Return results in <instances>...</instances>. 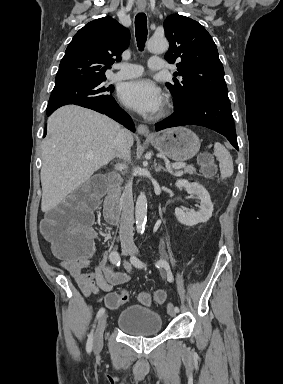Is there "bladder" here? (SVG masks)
<instances>
[{
  "label": "bladder",
  "instance_id": "obj_1",
  "mask_svg": "<svg viewBox=\"0 0 283 384\" xmlns=\"http://www.w3.org/2000/svg\"><path fill=\"white\" fill-rule=\"evenodd\" d=\"M116 327L128 336H157L162 332L163 318L158 310L140 305H128L117 317Z\"/></svg>",
  "mask_w": 283,
  "mask_h": 384
}]
</instances>
